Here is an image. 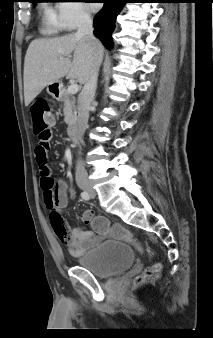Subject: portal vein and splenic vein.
Returning a JSON list of instances; mask_svg holds the SVG:
<instances>
[{"label": "portal vein and splenic vein", "mask_w": 213, "mask_h": 338, "mask_svg": "<svg viewBox=\"0 0 213 338\" xmlns=\"http://www.w3.org/2000/svg\"><path fill=\"white\" fill-rule=\"evenodd\" d=\"M78 90H79V86H78V84H71L69 87H68V93H70V94H75V93H77L78 92Z\"/></svg>", "instance_id": "1"}]
</instances>
